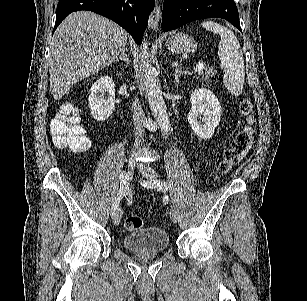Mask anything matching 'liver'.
<instances>
[{
	"label": "liver",
	"instance_id": "obj_1",
	"mask_svg": "<svg viewBox=\"0 0 307 301\" xmlns=\"http://www.w3.org/2000/svg\"><path fill=\"white\" fill-rule=\"evenodd\" d=\"M128 32L119 24L90 12H71L57 26L50 42L49 80L54 100L73 84L109 66L124 50Z\"/></svg>",
	"mask_w": 307,
	"mask_h": 301
}]
</instances>
